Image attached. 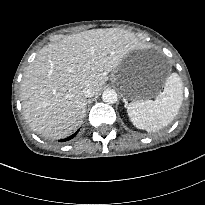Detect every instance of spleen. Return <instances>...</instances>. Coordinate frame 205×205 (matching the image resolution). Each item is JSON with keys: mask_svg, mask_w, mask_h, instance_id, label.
<instances>
[{"mask_svg": "<svg viewBox=\"0 0 205 205\" xmlns=\"http://www.w3.org/2000/svg\"><path fill=\"white\" fill-rule=\"evenodd\" d=\"M182 100L181 78L177 73H172L166 78L163 92H160L154 101H132L127 106V113L135 127L155 132L176 117Z\"/></svg>", "mask_w": 205, "mask_h": 205, "instance_id": "1", "label": "spleen"}]
</instances>
